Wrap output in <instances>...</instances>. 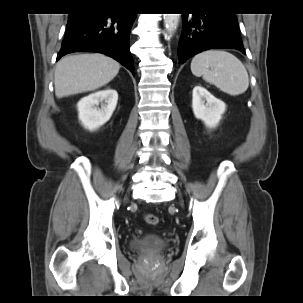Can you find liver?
I'll list each match as a JSON object with an SVG mask.
<instances>
[{"instance_id":"1","label":"liver","mask_w":303,"mask_h":303,"mask_svg":"<svg viewBox=\"0 0 303 303\" xmlns=\"http://www.w3.org/2000/svg\"><path fill=\"white\" fill-rule=\"evenodd\" d=\"M120 64L102 54H79L63 57L54 74L57 98L96 90L109 83L119 72Z\"/></svg>"}]
</instances>
